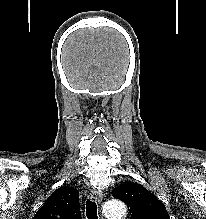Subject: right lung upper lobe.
<instances>
[{"label": "right lung upper lobe", "instance_id": "obj_1", "mask_svg": "<svg viewBox=\"0 0 206 219\" xmlns=\"http://www.w3.org/2000/svg\"><path fill=\"white\" fill-rule=\"evenodd\" d=\"M33 219H81L79 192L68 186L56 189Z\"/></svg>", "mask_w": 206, "mask_h": 219}]
</instances>
